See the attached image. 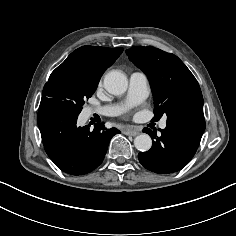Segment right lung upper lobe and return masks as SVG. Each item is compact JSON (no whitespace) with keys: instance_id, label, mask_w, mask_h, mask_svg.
Returning <instances> with one entry per match:
<instances>
[{"instance_id":"cb5924a9","label":"right lung upper lobe","mask_w":236,"mask_h":236,"mask_svg":"<svg viewBox=\"0 0 236 236\" xmlns=\"http://www.w3.org/2000/svg\"><path fill=\"white\" fill-rule=\"evenodd\" d=\"M123 48L83 46L72 52L59 66L87 79L98 81L104 71L120 56Z\"/></svg>"}]
</instances>
